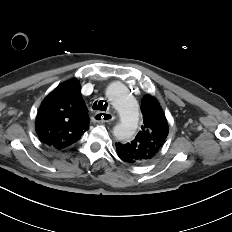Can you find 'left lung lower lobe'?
Listing matches in <instances>:
<instances>
[{
  "label": "left lung lower lobe",
  "instance_id": "left-lung-lower-lobe-1",
  "mask_svg": "<svg viewBox=\"0 0 232 232\" xmlns=\"http://www.w3.org/2000/svg\"><path fill=\"white\" fill-rule=\"evenodd\" d=\"M117 155H118V157H119L121 160H123L124 162L130 163V162H129V158H127L126 156H124L122 153H120V152L117 151ZM130 164H132V163H130Z\"/></svg>",
  "mask_w": 232,
  "mask_h": 232
}]
</instances>
